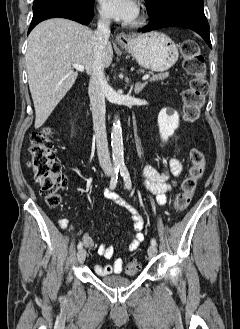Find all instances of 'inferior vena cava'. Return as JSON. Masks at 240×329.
Masks as SVG:
<instances>
[{
    "instance_id": "inferior-vena-cava-1",
    "label": "inferior vena cava",
    "mask_w": 240,
    "mask_h": 329,
    "mask_svg": "<svg viewBox=\"0 0 240 329\" xmlns=\"http://www.w3.org/2000/svg\"><path fill=\"white\" fill-rule=\"evenodd\" d=\"M110 24L111 22L108 18L100 17L97 23V30L93 34L94 61L88 89L98 159L102 170L107 175L111 174L113 170L108 150L105 125V92L108 88V84L104 74V52L110 36Z\"/></svg>"
}]
</instances>
